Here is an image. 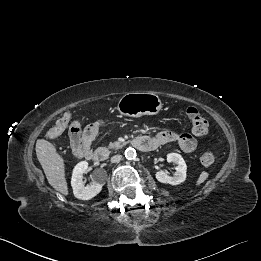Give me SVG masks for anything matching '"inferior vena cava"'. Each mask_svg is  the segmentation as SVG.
<instances>
[{
    "instance_id": "inferior-vena-cava-1",
    "label": "inferior vena cava",
    "mask_w": 261,
    "mask_h": 261,
    "mask_svg": "<svg viewBox=\"0 0 261 261\" xmlns=\"http://www.w3.org/2000/svg\"><path fill=\"white\" fill-rule=\"evenodd\" d=\"M121 159H122V155H114V156L111 157V162L112 163H118V162L121 161Z\"/></svg>"
}]
</instances>
